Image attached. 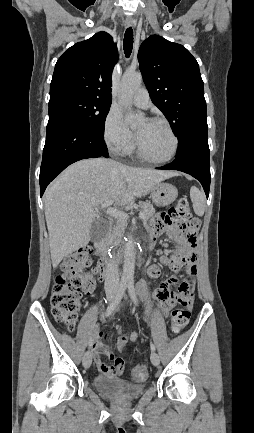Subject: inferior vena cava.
I'll return each instance as SVG.
<instances>
[{"label":"inferior vena cava","instance_id":"inferior-vena-cava-1","mask_svg":"<svg viewBox=\"0 0 254 433\" xmlns=\"http://www.w3.org/2000/svg\"><path fill=\"white\" fill-rule=\"evenodd\" d=\"M119 286L118 264L114 258L108 260L106 264L105 289H117Z\"/></svg>","mask_w":254,"mask_h":433}]
</instances>
